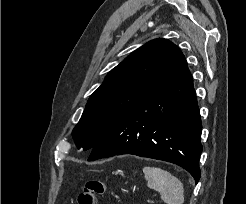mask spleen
<instances>
[{"mask_svg": "<svg viewBox=\"0 0 246 204\" xmlns=\"http://www.w3.org/2000/svg\"><path fill=\"white\" fill-rule=\"evenodd\" d=\"M143 173L147 186L157 190L166 204H183V184L177 177L159 167L145 166Z\"/></svg>", "mask_w": 246, "mask_h": 204, "instance_id": "obj_1", "label": "spleen"}]
</instances>
